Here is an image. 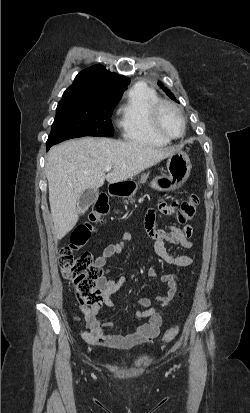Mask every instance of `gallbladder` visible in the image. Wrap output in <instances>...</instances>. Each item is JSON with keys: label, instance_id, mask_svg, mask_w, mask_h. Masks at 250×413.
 I'll return each instance as SVG.
<instances>
[{"label": "gallbladder", "instance_id": "bac80fb5", "mask_svg": "<svg viewBox=\"0 0 250 413\" xmlns=\"http://www.w3.org/2000/svg\"><path fill=\"white\" fill-rule=\"evenodd\" d=\"M98 197L97 189H87L79 197L77 208L80 213H84L90 205H92Z\"/></svg>", "mask_w": 250, "mask_h": 413}]
</instances>
